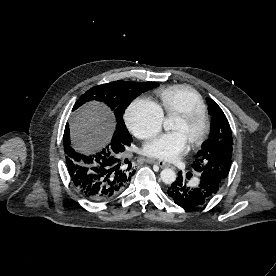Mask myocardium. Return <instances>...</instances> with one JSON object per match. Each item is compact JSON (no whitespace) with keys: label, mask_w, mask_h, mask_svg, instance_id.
I'll use <instances>...</instances> for the list:
<instances>
[{"label":"myocardium","mask_w":276,"mask_h":276,"mask_svg":"<svg viewBox=\"0 0 276 276\" xmlns=\"http://www.w3.org/2000/svg\"><path fill=\"white\" fill-rule=\"evenodd\" d=\"M177 118L183 120L184 122L191 124L194 122H200L201 123V129L197 137L194 139V141L191 143L192 149H197L200 146L203 145V143L206 141L209 130H210V120L208 117V114L206 110L198 109V108H192L185 112H182L177 115Z\"/></svg>","instance_id":"obj_1"}]
</instances>
